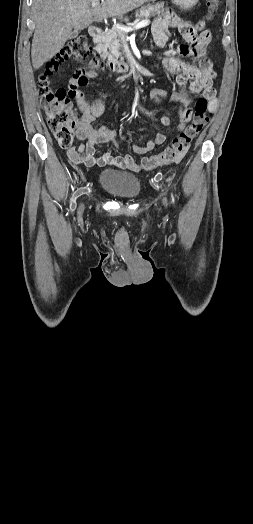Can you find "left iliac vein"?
I'll return each instance as SVG.
<instances>
[{"mask_svg":"<svg viewBox=\"0 0 253 524\" xmlns=\"http://www.w3.org/2000/svg\"><path fill=\"white\" fill-rule=\"evenodd\" d=\"M163 204H164L165 206H167L168 203H167V199H166V198L163 199Z\"/></svg>","mask_w":253,"mask_h":524,"instance_id":"left-iliac-vein-1","label":"left iliac vein"}]
</instances>
